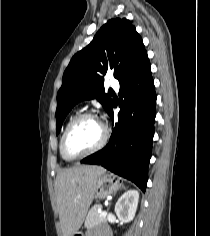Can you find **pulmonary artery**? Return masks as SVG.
I'll list each match as a JSON object with an SVG mask.
<instances>
[{"label":"pulmonary artery","mask_w":210,"mask_h":236,"mask_svg":"<svg viewBox=\"0 0 210 236\" xmlns=\"http://www.w3.org/2000/svg\"><path fill=\"white\" fill-rule=\"evenodd\" d=\"M110 85L115 90H118V88H119V82L116 79H114V78L110 79Z\"/></svg>","instance_id":"obj_1"}]
</instances>
